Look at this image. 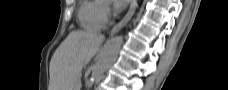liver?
Instances as JSON below:
<instances>
[{
  "label": "liver",
  "mask_w": 228,
  "mask_h": 90,
  "mask_svg": "<svg viewBox=\"0 0 228 90\" xmlns=\"http://www.w3.org/2000/svg\"><path fill=\"white\" fill-rule=\"evenodd\" d=\"M103 39L102 35L92 32H71L52 56L51 90H76L83 66L97 53Z\"/></svg>",
  "instance_id": "liver-1"
}]
</instances>
